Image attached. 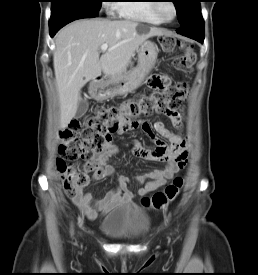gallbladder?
<instances>
[{
  "instance_id": "bac80fb5",
  "label": "gallbladder",
  "mask_w": 258,
  "mask_h": 275,
  "mask_svg": "<svg viewBox=\"0 0 258 275\" xmlns=\"http://www.w3.org/2000/svg\"><path fill=\"white\" fill-rule=\"evenodd\" d=\"M89 103L86 98H82L78 102L76 117H82L88 110Z\"/></svg>"
}]
</instances>
